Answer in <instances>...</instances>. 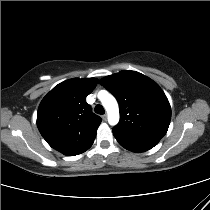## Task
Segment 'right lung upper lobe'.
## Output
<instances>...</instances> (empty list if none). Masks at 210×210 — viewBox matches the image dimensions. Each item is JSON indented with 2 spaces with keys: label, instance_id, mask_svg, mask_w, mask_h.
<instances>
[{
  "label": "right lung upper lobe",
  "instance_id": "1",
  "mask_svg": "<svg viewBox=\"0 0 210 210\" xmlns=\"http://www.w3.org/2000/svg\"><path fill=\"white\" fill-rule=\"evenodd\" d=\"M95 78H73L55 86L41 101L37 126L47 143L67 156L88 150L101 118L92 113L85 98L94 90Z\"/></svg>",
  "mask_w": 210,
  "mask_h": 210
}]
</instances>
